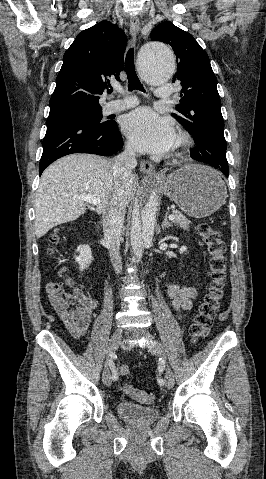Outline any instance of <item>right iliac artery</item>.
Listing matches in <instances>:
<instances>
[{
  "instance_id": "82829eb1",
  "label": "right iliac artery",
  "mask_w": 266,
  "mask_h": 479,
  "mask_svg": "<svg viewBox=\"0 0 266 479\" xmlns=\"http://www.w3.org/2000/svg\"><path fill=\"white\" fill-rule=\"evenodd\" d=\"M107 363H108V366L110 367V369L112 370V379H113L114 381H116L117 378H118V374H117V372H116V370H115V366H114V363H113L112 359L109 358V359L107 360Z\"/></svg>"
}]
</instances>
